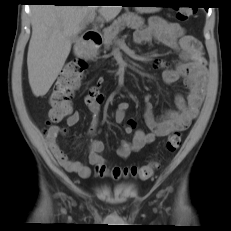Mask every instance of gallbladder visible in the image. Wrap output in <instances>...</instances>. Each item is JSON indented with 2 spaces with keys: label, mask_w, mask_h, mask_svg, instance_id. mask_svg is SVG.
I'll list each match as a JSON object with an SVG mask.
<instances>
[{
  "label": "gallbladder",
  "mask_w": 231,
  "mask_h": 231,
  "mask_svg": "<svg viewBox=\"0 0 231 231\" xmlns=\"http://www.w3.org/2000/svg\"><path fill=\"white\" fill-rule=\"evenodd\" d=\"M76 39V36L72 38V41H74Z\"/></svg>",
  "instance_id": "bac80fb5"
}]
</instances>
